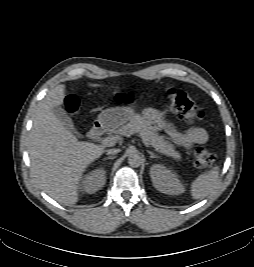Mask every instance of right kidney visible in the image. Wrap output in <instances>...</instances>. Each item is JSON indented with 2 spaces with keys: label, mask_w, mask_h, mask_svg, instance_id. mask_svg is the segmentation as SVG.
<instances>
[{
  "label": "right kidney",
  "mask_w": 254,
  "mask_h": 267,
  "mask_svg": "<svg viewBox=\"0 0 254 267\" xmlns=\"http://www.w3.org/2000/svg\"><path fill=\"white\" fill-rule=\"evenodd\" d=\"M106 182V171L103 168H97L83 178L82 188L88 194H93L100 190Z\"/></svg>",
  "instance_id": "right-kidney-1"
}]
</instances>
